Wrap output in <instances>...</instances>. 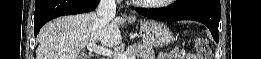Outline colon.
<instances>
[{
    "label": "colon",
    "instance_id": "1",
    "mask_svg": "<svg viewBox=\"0 0 261 59\" xmlns=\"http://www.w3.org/2000/svg\"><path fill=\"white\" fill-rule=\"evenodd\" d=\"M196 49H197V56L190 57L181 48H174L170 52V56L174 59H191V58H198V59H207L209 58V47L204 41H197L196 42Z\"/></svg>",
    "mask_w": 261,
    "mask_h": 59
}]
</instances>
